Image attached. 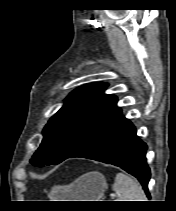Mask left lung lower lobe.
Listing matches in <instances>:
<instances>
[{"label":"left lung lower lobe","instance_id":"left-lung-lower-lobe-1","mask_svg":"<svg viewBox=\"0 0 176 211\" xmlns=\"http://www.w3.org/2000/svg\"><path fill=\"white\" fill-rule=\"evenodd\" d=\"M147 145L137 137L135 126L122 112L96 131L72 156L118 166L135 176L148 198L150 169L146 163Z\"/></svg>","mask_w":176,"mask_h":211}]
</instances>
